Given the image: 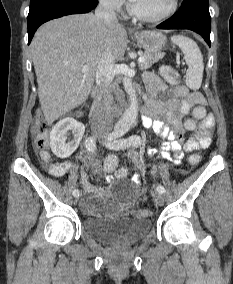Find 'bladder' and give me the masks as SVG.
I'll return each mask as SVG.
<instances>
[{"mask_svg":"<svg viewBox=\"0 0 233 284\" xmlns=\"http://www.w3.org/2000/svg\"><path fill=\"white\" fill-rule=\"evenodd\" d=\"M95 193L90 194L96 204ZM138 190L128 181L113 183L104 193L100 200L106 204L121 205L135 201ZM84 231L91 237L108 243H132L149 233L152 222L149 218L130 216H96L86 217L82 221Z\"/></svg>","mask_w":233,"mask_h":284,"instance_id":"1","label":"bladder"}]
</instances>
